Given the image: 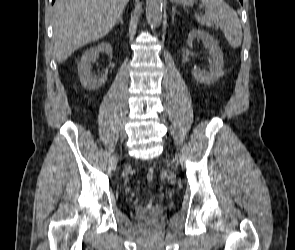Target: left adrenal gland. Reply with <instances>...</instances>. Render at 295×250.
Segmentation results:
<instances>
[{
  "label": "left adrenal gland",
  "mask_w": 295,
  "mask_h": 250,
  "mask_svg": "<svg viewBox=\"0 0 295 250\" xmlns=\"http://www.w3.org/2000/svg\"><path fill=\"white\" fill-rule=\"evenodd\" d=\"M175 14H176V9L175 7H172V20H174Z\"/></svg>",
  "instance_id": "left-adrenal-gland-1"
}]
</instances>
